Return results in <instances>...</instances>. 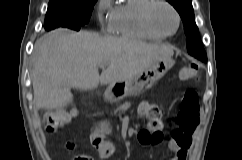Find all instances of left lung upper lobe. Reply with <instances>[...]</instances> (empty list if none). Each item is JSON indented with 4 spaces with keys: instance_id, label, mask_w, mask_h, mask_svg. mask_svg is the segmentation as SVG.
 Masks as SVG:
<instances>
[{
    "instance_id": "obj_1",
    "label": "left lung upper lobe",
    "mask_w": 242,
    "mask_h": 160,
    "mask_svg": "<svg viewBox=\"0 0 242 160\" xmlns=\"http://www.w3.org/2000/svg\"><path fill=\"white\" fill-rule=\"evenodd\" d=\"M178 11L187 35V51L190 55L207 62V55L203 48L199 31L194 19V11L191 0H167Z\"/></svg>"
}]
</instances>
